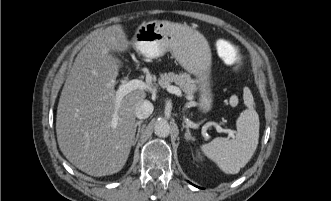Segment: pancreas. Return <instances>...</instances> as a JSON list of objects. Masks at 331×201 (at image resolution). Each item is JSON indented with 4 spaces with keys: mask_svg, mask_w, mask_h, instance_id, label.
<instances>
[{
    "mask_svg": "<svg viewBox=\"0 0 331 201\" xmlns=\"http://www.w3.org/2000/svg\"><path fill=\"white\" fill-rule=\"evenodd\" d=\"M158 83L162 88H167L171 83H175L187 96H192L197 90L194 80L187 73L175 74L169 72L160 74Z\"/></svg>",
    "mask_w": 331,
    "mask_h": 201,
    "instance_id": "cf45deb5",
    "label": "pancreas"
}]
</instances>
